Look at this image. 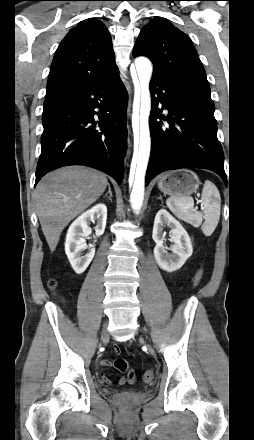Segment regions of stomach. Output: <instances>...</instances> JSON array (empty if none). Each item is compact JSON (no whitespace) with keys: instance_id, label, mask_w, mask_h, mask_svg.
I'll return each instance as SVG.
<instances>
[{"instance_id":"0dacf381","label":"stomach","mask_w":254,"mask_h":440,"mask_svg":"<svg viewBox=\"0 0 254 440\" xmlns=\"http://www.w3.org/2000/svg\"><path fill=\"white\" fill-rule=\"evenodd\" d=\"M200 184L196 173L181 169L163 174L158 181L159 189L171 197L189 196Z\"/></svg>"}]
</instances>
